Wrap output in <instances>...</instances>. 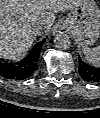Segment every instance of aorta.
<instances>
[{
	"label": "aorta",
	"instance_id": "aorta-1",
	"mask_svg": "<svg viewBox=\"0 0 100 118\" xmlns=\"http://www.w3.org/2000/svg\"><path fill=\"white\" fill-rule=\"evenodd\" d=\"M54 44L58 49L67 50L71 46V40L66 33L61 32L55 36Z\"/></svg>",
	"mask_w": 100,
	"mask_h": 118
}]
</instances>
